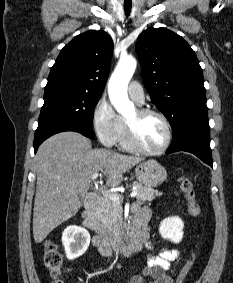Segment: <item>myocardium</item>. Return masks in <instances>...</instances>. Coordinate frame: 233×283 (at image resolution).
Returning <instances> with one entry per match:
<instances>
[{
  "mask_svg": "<svg viewBox=\"0 0 233 283\" xmlns=\"http://www.w3.org/2000/svg\"><path fill=\"white\" fill-rule=\"evenodd\" d=\"M136 111H137L138 117L140 118L148 116V115H155L159 117L165 125L167 137H166V141L164 145L160 147L159 149L157 150L146 149L139 143L137 139L135 126L132 123L125 120L124 123H125L126 138H127V141L130 147L133 150L139 153L145 154V155H160L164 153L165 151H167L173 139V131H172V127H171V124L168 118L162 112L152 109V108H138Z\"/></svg>",
  "mask_w": 233,
  "mask_h": 283,
  "instance_id": "1",
  "label": "myocardium"
}]
</instances>
